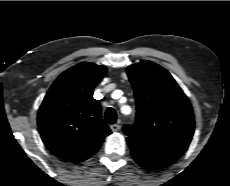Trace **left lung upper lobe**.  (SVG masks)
<instances>
[{
  "instance_id": "left-lung-upper-lobe-1",
  "label": "left lung upper lobe",
  "mask_w": 230,
  "mask_h": 186,
  "mask_svg": "<svg viewBox=\"0 0 230 186\" xmlns=\"http://www.w3.org/2000/svg\"><path fill=\"white\" fill-rule=\"evenodd\" d=\"M126 72L137 105L134 126L123 127L131 151L177 160L187 150L195 127L187 96L171 74L152 61L130 65Z\"/></svg>"
}]
</instances>
